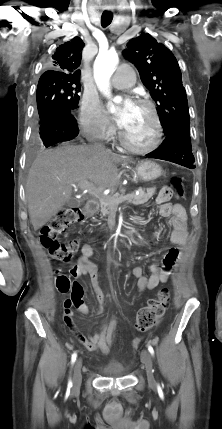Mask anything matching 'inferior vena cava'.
Masks as SVG:
<instances>
[{
  "label": "inferior vena cava",
  "instance_id": "602c4592",
  "mask_svg": "<svg viewBox=\"0 0 222 429\" xmlns=\"http://www.w3.org/2000/svg\"><path fill=\"white\" fill-rule=\"evenodd\" d=\"M91 147L96 149H105V147L101 143H94L93 145H91Z\"/></svg>",
  "mask_w": 222,
  "mask_h": 429
}]
</instances>
